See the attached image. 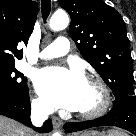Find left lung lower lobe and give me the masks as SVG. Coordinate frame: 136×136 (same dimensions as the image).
I'll return each instance as SVG.
<instances>
[{"instance_id":"left-lung-lower-lobe-1","label":"left lung lower lobe","mask_w":136,"mask_h":136,"mask_svg":"<svg viewBox=\"0 0 136 136\" xmlns=\"http://www.w3.org/2000/svg\"><path fill=\"white\" fill-rule=\"evenodd\" d=\"M97 126H117L136 136V96L116 98L107 115L90 121L67 123L64 129L67 132H75Z\"/></svg>"}]
</instances>
